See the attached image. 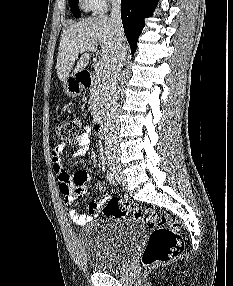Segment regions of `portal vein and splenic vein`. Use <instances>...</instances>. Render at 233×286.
I'll list each match as a JSON object with an SVG mask.
<instances>
[{"label": "portal vein and splenic vein", "instance_id": "1", "mask_svg": "<svg viewBox=\"0 0 233 286\" xmlns=\"http://www.w3.org/2000/svg\"><path fill=\"white\" fill-rule=\"evenodd\" d=\"M80 50H81V52H85V51L97 52L96 47L90 46V45L81 46ZM105 70H106V68H105V65L103 63H101V62L96 63V65H95V73H96V75H98V76L104 75L105 74Z\"/></svg>", "mask_w": 233, "mask_h": 286}]
</instances>
